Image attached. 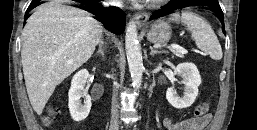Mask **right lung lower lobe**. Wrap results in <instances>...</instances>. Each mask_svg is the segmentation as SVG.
Instances as JSON below:
<instances>
[{
  "label": "right lung lower lobe",
  "mask_w": 257,
  "mask_h": 130,
  "mask_svg": "<svg viewBox=\"0 0 257 130\" xmlns=\"http://www.w3.org/2000/svg\"><path fill=\"white\" fill-rule=\"evenodd\" d=\"M99 1L94 2L91 5H88V9L86 11L94 14L98 21L102 22L105 27L116 34L123 33L125 29V14L122 10L115 7L103 8ZM39 1L33 0L26 11L25 17L29 11L40 5Z\"/></svg>",
  "instance_id": "right-lung-lower-lobe-1"
}]
</instances>
